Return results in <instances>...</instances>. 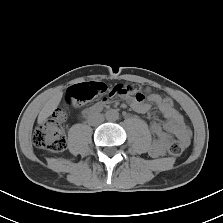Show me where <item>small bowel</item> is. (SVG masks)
I'll list each match as a JSON object with an SVG mask.
<instances>
[{
  "label": "small bowel",
  "instance_id": "1",
  "mask_svg": "<svg viewBox=\"0 0 223 223\" xmlns=\"http://www.w3.org/2000/svg\"><path fill=\"white\" fill-rule=\"evenodd\" d=\"M127 101L134 111L144 114L150 109V104L157 106L162 116L165 118V123L160 124L153 122L151 130L155 135V139L149 147V154L153 157H160L165 154L166 149L172 139H177L183 146H188L191 139V132L186 126L182 115L173 107L168 108L163 105V98L158 94H153L148 98L149 103L138 100L135 97H128ZM108 104L107 99L93 105V109L100 111Z\"/></svg>",
  "mask_w": 223,
  "mask_h": 223
}]
</instances>
